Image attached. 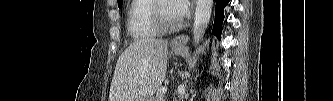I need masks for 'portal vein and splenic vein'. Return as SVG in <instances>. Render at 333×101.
<instances>
[{
    "mask_svg": "<svg viewBox=\"0 0 333 101\" xmlns=\"http://www.w3.org/2000/svg\"><path fill=\"white\" fill-rule=\"evenodd\" d=\"M167 90H168V88H167V87H164V88L162 89V94H165V93L167 92Z\"/></svg>",
    "mask_w": 333,
    "mask_h": 101,
    "instance_id": "18ae733b",
    "label": "portal vein and splenic vein"
}]
</instances>
